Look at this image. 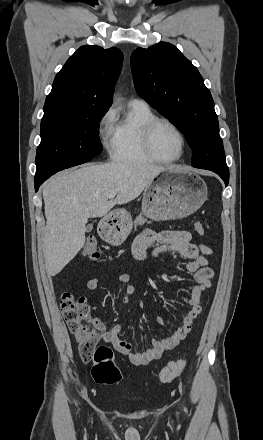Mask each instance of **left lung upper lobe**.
Here are the masks:
<instances>
[{
    "mask_svg": "<svg viewBox=\"0 0 263 440\" xmlns=\"http://www.w3.org/2000/svg\"><path fill=\"white\" fill-rule=\"evenodd\" d=\"M137 93L188 140L192 166L229 171L210 91L197 68L172 44L160 42L131 55Z\"/></svg>",
    "mask_w": 263,
    "mask_h": 440,
    "instance_id": "obj_1",
    "label": "left lung upper lobe"
}]
</instances>
